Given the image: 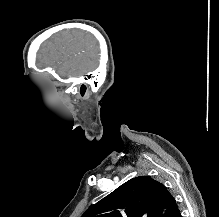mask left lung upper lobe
Returning a JSON list of instances; mask_svg holds the SVG:
<instances>
[{
  "mask_svg": "<svg viewBox=\"0 0 219 217\" xmlns=\"http://www.w3.org/2000/svg\"><path fill=\"white\" fill-rule=\"evenodd\" d=\"M178 205L150 176L130 179L87 209L81 217H177Z\"/></svg>",
  "mask_w": 219,
  "mask_h": 217,
  "instance_id": "obj_1",
  "label": "left lung upper lobe"
}]
</instances>
